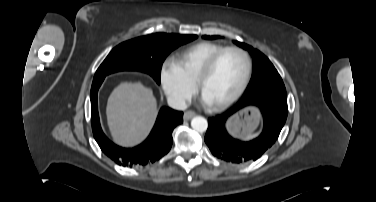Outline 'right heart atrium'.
I'll list each match as a JSON object with an SVG mask.
<instances>
[{
    "instance_id": "right-heart-atrium-1",
    "label": "right heart atrium",
    "mask_w": 376,
    "mask_h": 202,
    "mask_svg": "<svg viewBox=\"0 0 376 202\" xmlns=\"http://www.w3.org/2000/svg\"><path fill=\"white\" fill-rule=\"evenodd\" d=\"M161 88L169 102L183 108L195 94V85L189 81L173 59H165L159 69Z\"/></svg>"
}]
</instances>
